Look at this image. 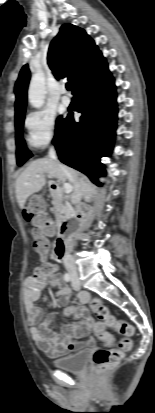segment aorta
Segmentation results:
<instances>
[{
	"mask_svg": "<svg viewBox=\"0 0 155 413\" xmlns=\"http://www.w3.org/2000/svg\"><path fill=\"white\" fill-rule=\"evenodd\" d=\"M46 96L45 79L41 71L35 73L31 79L28 100L32 107L41 108L44 105Z\"/></svg>",
	"mask_w": 155,
	"mask_h": 413,
	"instance_id": "762f6f07",
	"label": "aorta"
}]
</instances>
